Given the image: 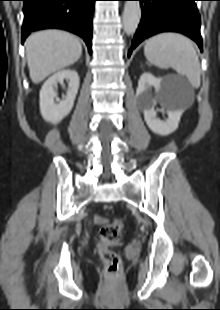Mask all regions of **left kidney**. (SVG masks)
Wrapping results in <instances>:
<instances>
[{
	"mask_svg": "<svg viewBox=\"0 0 220 310\" xmlns=\"http://www.w3.org/2000/svg\"><path fill=\"white\" fill-rule=\"evenodd\" d=\"M153 86L155 88L156 97H152L147 88ZM168 92V81L162 78H156L151 73L145 72L141 75L136 96L140 107L143 109L144 119L146 124L156 134L166 136L173 133L177 128L182 116L183 110L167 109L168 118L164 121L156 118L157 113L154 110V105L158 100Z\"/></svg>",
	"mask_w": 220,
	"mask_h": 310,
	"instance_id": "left-kidney-1",
	"label": "left kidney"
}]
</instances>
